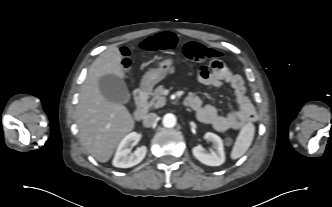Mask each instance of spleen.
I'll return each mask as SVG.
<instances>
[{
  "instance_id": "1",
  "label": "spleen",
  "mask_w": 332,
  "mask_h": 207,
  "mask_svg": "<svg viewBox=\"0 0 332 207\" xmlns=\"http://www.w3.org/2000/svg\"><path fill=\"white\" fill-rule=\"evenodd\" d=\"M255 133V126L247 123L241 129L231 152L232 159H238L245 154L252 144Z\"/></svg>"
}]
</instances>
